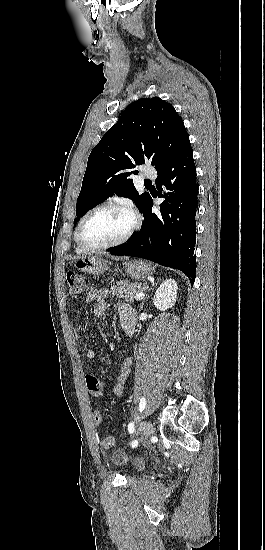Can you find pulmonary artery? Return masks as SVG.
Returning a JSON list of instances; mask_svg holds the SVG:
<instances>
[{"label":"pulmonary artery","mask_w":265,"mask_h":550,"mask_svg":"<svg viewBox=\"0 0 265 550\" xmlns=\"http://www.w3.org/2000/svg\"><path fill=\"white\" fill-rule=\"evenodd\" d=\"M145 176L149 178H155L156 177V171L154 169H148L145 172Z\"/></svg>","instance_id":"pulmonary-artery-1"}]
</instances>
